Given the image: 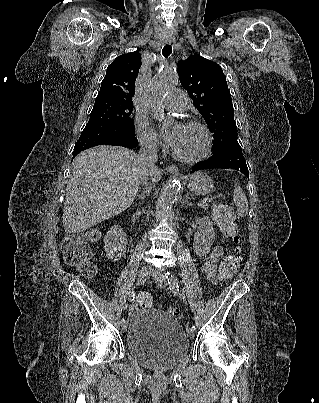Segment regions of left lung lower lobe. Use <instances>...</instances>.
Segmentation results:
<instances>
[{"instance_id":"0a47b994","label":"left lung lower lobe","mask_w":319,"mask_h":403,"mask_svg":"<svg viewBox=\"0 0 319 403\" xmlns=\"http://www.w3.org/2000/svg\"><path fill=\"white\" fill-rule=\"evenodd\" d=\"M210 168L235 169L249 177L246 161L239 144L229 146L221 152L213 154L206 161L196 164L191 172Z\"/></svg>"}]
</instances>
